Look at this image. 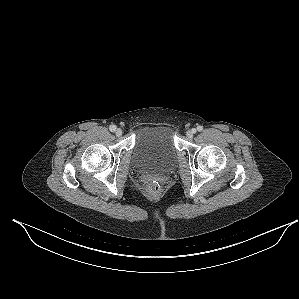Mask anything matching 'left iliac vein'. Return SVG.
<instances>
[{
    "instance_id": "obj_1",
    "label": "left iliac vein",
    "mask_w": 299,
    "mask_h": 299,
    "mask_svg": "<svg viewBox=\"0 0 299 299\" xmlns=\"http://www.w3.org/2000/svg\"><path fill=\"white\" fill-rule=\"evenodd\" d=\"M196 133V129H191V130H188L187 133H186V136L191 139L193 138L194 134Z\"/></svg>"
}]
</instances>
